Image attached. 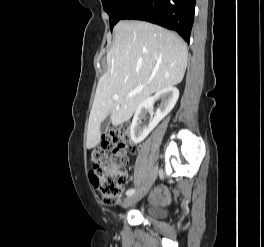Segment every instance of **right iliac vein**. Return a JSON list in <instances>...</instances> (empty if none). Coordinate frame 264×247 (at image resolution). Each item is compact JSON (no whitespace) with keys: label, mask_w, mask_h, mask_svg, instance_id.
<instances>
[{"label":"right iliac vein","mask_w":264,"mask_h":247,"mask_svg":"<svg viewBox=\"0 0 264 247\" xmlns=\"http://www.w3.org/2000/svg\"><path fill=\"white\" fill-rule=\"evenodd\" d=\"M156 176H157V169L154 168L148 175L143 187L140 190H138L136 193L130 195L128 198L125 199L124 207H128L140 201L150 190L151 186L153 185L156 179Z\"/></svg>","instance_id":"63e3f726"}]
</instances>
